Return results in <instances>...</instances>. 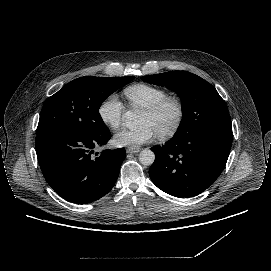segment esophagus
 Here are the masks:
<instances>
[{"mask_svg": "<svg viewBox=\"0 0 271 271\" xmlns=\"http://www.w3.org/2000/svg\"><path fill=\"white\" fill-rule=\"evenodd\" d=\"M141 149L140 148H127L126 152L129 154L138 153Z\"/></svg>", "mask_w": 271, "mask_h": 271, "instance_id": "34e87169", "label": "esophagus"}]
</instances>
